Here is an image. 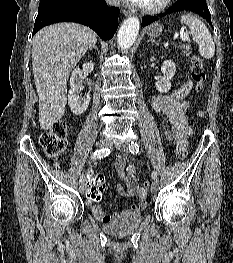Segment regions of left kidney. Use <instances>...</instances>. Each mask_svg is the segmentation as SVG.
I'll list each match as a JSON object with an SVG mask.
<instances>
[{"instance_id": "left-kidney-1", "label": "left kidney", "mask_w": 233, "mask_h": 263, "mask_svg": "<svg viewBox=\"0 0 233 263\" xmlns=\"http://www.w3.org/2000/svg\"><path fill=\"white\" fill-rule=\"evenodd\" d=\"M161 71L164 76L155 83V87L158 92L166 93L171 88L170 80L173 79L176 73V65L171 60H165L162 63Z\"/></svg>"}]
</instances>
